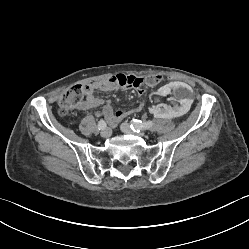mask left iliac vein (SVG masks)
<instances>
[{
	"label": "left iliac vein",
	"mask_w": 249,
	"mask_h": 249,
	"mask_svg": "<svg viewBox=\"0 0 249 249\" xmlns=\"http://www.w3.org/2000/svg\"><path fill=\"white\" fill-rule=\"evenodd\" d=\"M120 128H121L122 132H124V133H127V134L132 133V129H131V127L129 126L128 123H122L121 126H120ZM137 134H138L139 136H141V137L145 136V132H143V131H140V132H138Z\"/></svg>",
	"instance_id": "4c4485c4"
}]
</instances>
